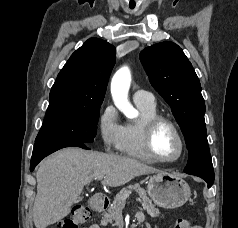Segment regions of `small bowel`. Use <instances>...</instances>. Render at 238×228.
<instances>
[{"label": "small bowel", "mask_w": 238, "mask_h": 228, "mask_svg": "<svg viewBox=\"0 0 238 228\" xmlns=\"http://www.w3.org/2000/svg\"><path fill=\"white\" fill-rule=\"evenodd\" d=\"M137 219H138V221L143 222L144 221V215L142 214L141 217H138V215H137ZM88 228H100V227L97 224H91ZM148 228H150V227L148 226Z\"/></svg>", "instance_id": "c3829d8e"}]
</instances>
